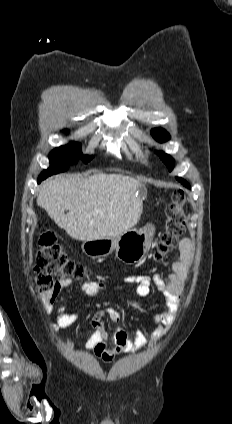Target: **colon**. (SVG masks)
Here are the masks:
<instances>
[{
  "mask_svg": "<svg viewBox=\"0 0 232 424\" xmlns=\"http://www.w3.org/2000/svg\"><path fill=\"white\" fill-rule=\"evenodd\" d=\"M188 204L184 190L177 189L172 194V201L166 207L163 229L159 235L156 259L166 258L175 248L178 239L185 232ZM35 271L36 285L46 301H51L57 280L90 278L92 272L72 259L49 232H43L39 237V248L36 255Z\"/></svg>",
  "mask_w": 232,
  "mask_h": 424,
  "instance_id": "5ec220e1",
  "label": "colon"
}]
</instances>
